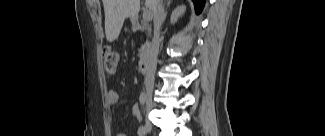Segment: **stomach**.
<instances>
[{"label":"stomach","instance_id":"0dacf381","mask_svg":"<svg viewBox=\"0 0 325 136\" xmlns=\"http://www.w3.org/2000/svg\"><path fill=\"white\" fill-rule=\"evenodd\" d=\"M131 21H132L133 24L135 23V19H132Z\"/></svg>","mask_w":325,"mask_h":136}]
</instances>
